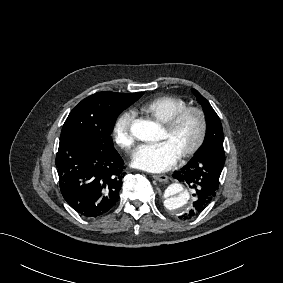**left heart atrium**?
Instances as JSON below:
<instances>
[{"mask_svg":"<svg viewBox=\"0 0 283 283\" xmlns=\"http://www.w3.org/2000/svg\"><path fill=\"white\" fill-rule=\"evenodd\" d=\"M180 155L167 141L139 145L131 156L134 168L148 172L160 173L172 168Z\"/></svg>","mask_w":283,"mask_h":283,"instance_id":"obj_1","label":"left heart atrium"}]
</instances>
